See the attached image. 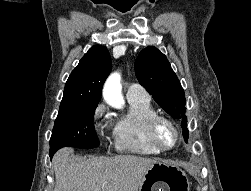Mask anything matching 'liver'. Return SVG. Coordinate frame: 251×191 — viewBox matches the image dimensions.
I'll return each mask as SVG.
<instances>
[{
  "label": "liver",
  "instance_id": "obj_1",
  "mask_svg": "<svg viewBox=\"0 0 251 191\" xmlns=\"http://www.w3.org/2000/svg\"><path fill=\"white\" fill-rule=\"evenodd\" d=\"M157 157L114 155L77 157L73 147H62L53 157L54 191H138Z\"/></svg>",
  "mask_w": 251,
  "mask_h": 191
}]
</instances>
